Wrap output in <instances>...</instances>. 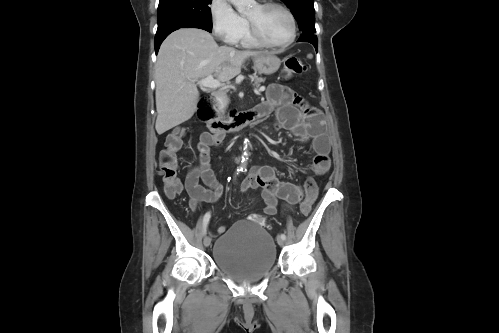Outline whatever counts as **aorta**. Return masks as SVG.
Returning <instances> with one entry per match:
<instances>
[{"instance_id": "obj_1", "label": "aorta", "mask_w": 499, "mask_h": 333, "mask_svg": "<svg viewBox=\"0 0 499 333\" xmlns=\"http://www.w3.org/2000/svg\"><path fill=\"white\" fill-rule=\"evenodd\" d=\"M232 3L239 13H244L250 9L255 0H228ZM248 159L247 141H245L244 154L242 156L241 167H245Z\"/></svg>"}]
</instances>
